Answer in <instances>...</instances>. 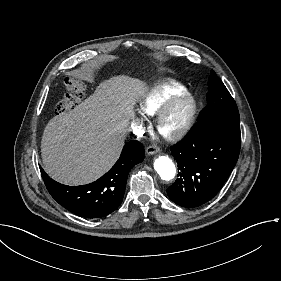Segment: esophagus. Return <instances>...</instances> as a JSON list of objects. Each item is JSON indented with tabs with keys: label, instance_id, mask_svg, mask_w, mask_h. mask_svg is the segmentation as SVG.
Instances as JSON below:
<instances>
[{
	"label": "esophagus",
	"instance_id": "obj_1",
	"mask_svg": "<svg viewBox=\"0 0 281 281\" xmlns=\"http://www.w3.org/2000/svg\"><path fill=\"white\" fill-rule=\"evenodd\" d=\"M159 151H160V148L157 146H154V145H151V146L147 147V149H146V153L148 155H154V154L158 153Z\"/></svg>",
	"mask_w": 281,
	"mask_h": 281
}]
</instances>
